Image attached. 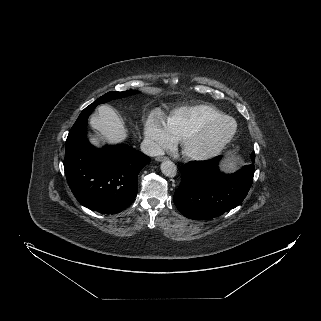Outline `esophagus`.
<instances>
[{"label":"esophagus","mask_w":321,"mask_h":321,"mask_svg":"<svg viewBox=\"0 0 321 321\" xmlns=\"http://www.w3.org/2000/svg\"><path fill=\"white\" fill-rule=\"evenodd\" d=\"M167 159H168V158L165 157V156H158V157L155 158V160L158 161V162H162V161H165V160H167Z\"/></svg>","instance_id":"obj_1"}]
</instances>
